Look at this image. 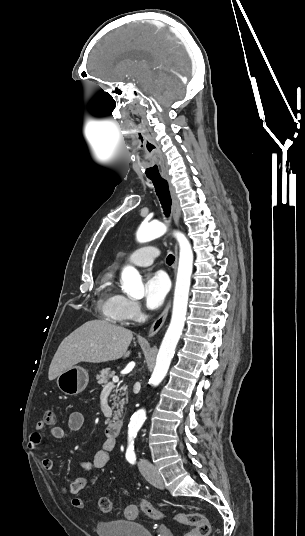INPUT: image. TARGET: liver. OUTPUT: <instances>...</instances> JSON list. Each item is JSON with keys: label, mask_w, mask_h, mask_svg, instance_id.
<instances>
[{"label": "liver", "mask_w": 305, "mask_h": 536, "mask_svg": "<svg viewBox=\"0 0 305 536\" xmlns=\"http://www.w3.org/2000/svg\"><path fill=\"white\" fill-rule=\"evenodd\" d=\"M133 338L132 332L109 324L106 320L86 322L61 342L49 368V380H55L59 374L69 370L79 362H110L119 358H128L127 352Z\"/></svg>", "instance_id": "6515ba94"}]
</instances>
